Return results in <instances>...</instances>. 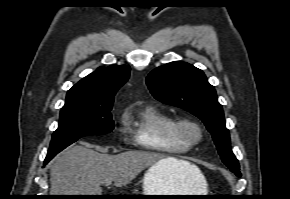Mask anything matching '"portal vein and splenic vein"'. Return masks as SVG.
Segmentation results:
<instances>
[{
	"instance_id": "1",
	"label": "portal vein and splenic vein",
	"mask_w": 290,
	"mask_h": 199,
	"mask_svg": "<svg viewBox=\"0 0 290 199\" xmlns=\"http://www.w3.org/2000/svg\"><path fill=\"white\" fill-rule=\"evenodd\" d=\"M103 184H105V185H109V184H111V182H110V181H107V182H105V183H103Z\"/></svg>"
}]
</instances>
